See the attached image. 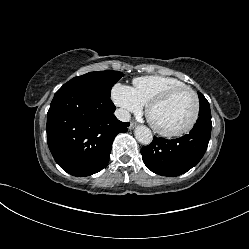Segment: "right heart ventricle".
<instances>
[{"mask_svg":"<svg viewBox=\"0 0 249 249\" xmlns=\"http://www.w3.org/2000/svg\"><path fill=\"white\" fill-rule=\"evenodd\" d=\"M184 85L186 84L179 79L162 75L142 76L133 80L134 92L143 105H148L153 99L174 87Z\"/></svg>","mask_w":249,"mask_h":249,"instance_id":"right-heart-ventricle-1","label":"right heart ventricle"}]
</instances>
